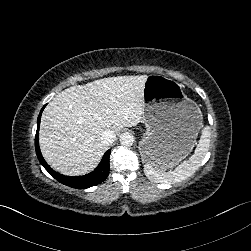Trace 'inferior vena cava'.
<instances>
[{"mask_svg": "<svg viewBox=\"0 0 251 251\" xmlns=\"http://www.w3.org/2000/svg\"><path fill=\"white\" fill-rule=\"evenodd\" d=\"M116 140V134L110 129H106L101 135V144L104 147L110 146Z\"/></svg>", "mask_w": 251, "mask_h": 251, "instance_id": "inferior-vena-cava-1", "label": "inferior vena cava"}]
</instances>
